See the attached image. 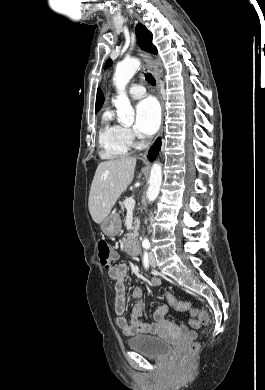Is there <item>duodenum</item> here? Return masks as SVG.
I'll use <instances>...</instances> for the list:
<instances>
[{
    "instance_id": "410a0bca",
    "label": "duodenum",
    "mask_w": 265,
    "mask_h": 390,
    "mask_svg": "<svg viewBox=\"0 0 265 390\" xmlns=\"http://www.w3.org/2000/svg\"><path fill=\"white\" fill-rule=\"evenodd\" d=\"M127 250L130 251L133 255H139L140 254V245L137 242L136 239H132L127 244Z\"/></svg>"
}]
</instances>
